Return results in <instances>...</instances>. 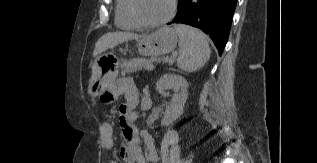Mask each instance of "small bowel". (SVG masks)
Here are the masks:
<instances>
[{
	"label": "small bowel",
	"instance_id": "1",
	"mask_svg": "<svg viewBox=\"0 0 317 163\" xmlns=\"http://www.w3.org/2000/svg\"><path fill=\"white\" fill-rule=\"evenodd\" d=\"M114 96L123 97L120 105V125L123 131L124 146L120 156L124 163H156L159 160L158 150L153 137L146 131H139L135 125L139 116L140 95L137 86L130 79L121 80L114 89ZM144 108L143 105H141ZM143 142V146L141 143ZM101 147L113 148V128L110 123L102 125ZM109 163H117L110 161Z\"/></svg>",
	"mask_w": 317,
	"mask_h": 163
}]
</instances>
